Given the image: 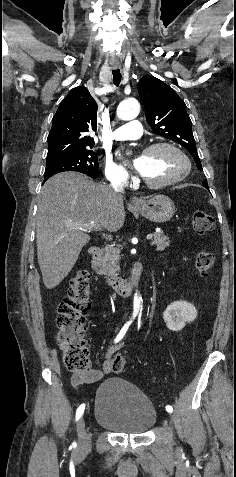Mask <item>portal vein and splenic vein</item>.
I'll list each match as a JSON object with an SVG mask.
<instances>
[{"instance_id": "obj_1", "label": "portal vein and splenic vein", "mask_w": 236, "mask_h": 477, "mask_svg": "<svg viewBox=\"0 0 236 477\" xmlns=\"http://www.w3.org/2000/svg\"><path fill=\"white\" fill-rule=\"evenodd\" d=\"M78 226L79 228H84L85 230H91V229L101 230V227L98 224L93 222L89 224H79ZM152 237H153L152 234H148L146 238L147 240H151Z\"/></svg>"}]
</instances>
